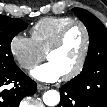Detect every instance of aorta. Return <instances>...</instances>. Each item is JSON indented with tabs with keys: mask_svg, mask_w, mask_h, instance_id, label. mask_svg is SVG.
Here are the masks:
<instances>
[{
	"mask_svg": "<svg viewBox=\"0 0 107 107\" xmlns=\"http://www.w3.org/2000/svg\"><path fill=\"white\" fill-rule=\"evenodd\" d=\"M43 102L49 107L57 106L60 102L59 92L56 90H48L43 95Z\"/></svg>",
	"mask_w": 107,
	"mask_h": 107,
	"instance_id": "1",
	"label": "aorta"
}]
</instances>
